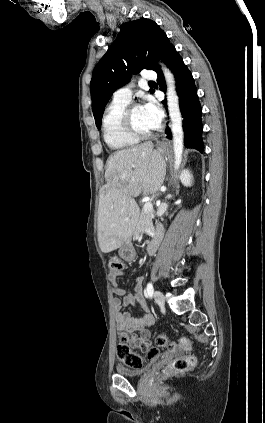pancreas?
<instances>
[{"label": "pancreas", "mask_w": 265, "mask_h": 423, "mask_svg": "<svg viewBox=\"0 0 265 423\" xmlns=\"http://www.w3.org/2000/svg\"><path fill=\"white\" fill-rule=\"evenodd\" d=\"M152 218L153 214L145 212L144 210L141 211L138 223L136 225V228L134 230V237L139 238L145 229H151L152 228Z\"/></svg>", "instance_id": "pancreas-1"}]
</instances>
